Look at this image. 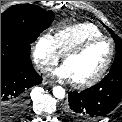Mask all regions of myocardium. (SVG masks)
<instances>
[{"instance_id":"myocardium-1","label":"myocardium","mask_w":122,"mask_h":122,"mask_svg":"<svg viewBox=\"0 0 122 122\" xmlns=\"http://www.w3.org/2000/svg\"><path fill=\"white\" fill-rule=\"evenodd\" d=\"M100 41H107L110 45V53L105 64L99 70V72L96 75H94L92 78L85 81H81V82L71 81L74 87L79 88V89L91 87L97 84L105 76V74L107 73L108 69L110 68L112 64V61L115 55V43L111 38L107 36L93 37L81 42L80 44L76 45L75 47L71 48L70 50H68L67 52L63 54L62 60H63V63H65V61L68 58L81 54L89 46Z\"/></svg>"}]
</instances>
